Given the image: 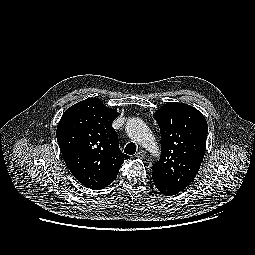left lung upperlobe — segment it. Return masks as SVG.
Masks as SVG:
<instances>
[{
    "label": "left lung upper lobe",
    "mask_w": 255,
    "mask_h": 255,
    "mask_svg": "<svg viewBox=\"0 0 255 255\" xmlns=\"http://www.w3.org/2000/svg\"><path fill=\"white\" fill-rule=\"evenodd\" d=\"M161 133V156L152 177L178 192L195 178L201 166L208 125L194 107L178 102L163 105L153 115Z\"/></svg>",
    "instance_id": "obj_1"
}]
</instances>
